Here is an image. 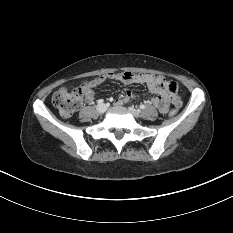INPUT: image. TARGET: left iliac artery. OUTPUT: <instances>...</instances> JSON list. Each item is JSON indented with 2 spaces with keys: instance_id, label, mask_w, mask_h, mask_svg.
I'll list each match as a JSON object with an SVG mask.
<instances>
[{
  "instance_id": "44dca946",
  "label": "left iliac artery",
  "mask_w": 233,
  "mask_h": 233,
  "mask_svg": "<svg viewBox=\"0 0 233 233\" xmlns=\"http://www.w3.org/2000/svg\"><path fill=\"white\" fill-rule=\"evenodd\" d=\"M139 108H140V109H144V108H145V105L141 104V105L139 106Z\"/></svg>"
}]
</instances>
